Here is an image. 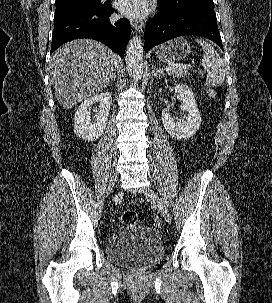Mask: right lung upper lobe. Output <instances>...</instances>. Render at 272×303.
<instances>
[{
    "label": "right lung upper lobe",
    "mask_w": 272,
    "mask_h": 303,
    "mask_svg": "<svg viewBox=\"0 0 272 303\" xmlns=\"http://www.w3.org/2000/svg\"><path fill=\"white\" fill-rule=\"evenodd\" d=\"M64 1H69V0H56V3L57 2H64Z\"/></svg>",
    "instance_id": "1"
}]
</instances>
